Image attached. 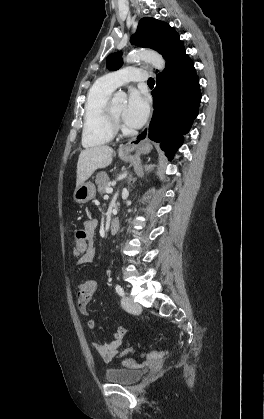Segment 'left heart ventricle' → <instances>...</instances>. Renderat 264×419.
<instances>
[{"instance_id":"left-heart-ventricle-1","label":"left heart ventricle","mask_w":264,"mask_h":419,"mask_svg":"<svg viewBox=\"0 0 264 419\" xmlns=\"http://www.w3.org/2000/svg\"><path fill=\"white\" fill-rule=\"evenodd\" d=\"M113 111L119 115L122 116L125 110V104L124 103H115L112 105Z\"/></svg>"}]
</instances>
